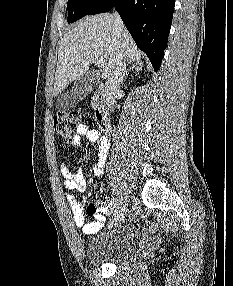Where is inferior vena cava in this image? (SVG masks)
<instances>
[{
    "instance_id": "1",
    "label": "inferior vena cava",
    "mask_w": 233,
    "mask_h": 286,
    "mask_svg": "<svg viewBox=\"0 0 233 286\" xmlns=\"http://www.w3.org/2000/svg\"><path fill=\"white\" fill-rule=\"evenodd\" d=\"M115 17V28L121 29L124 25L118 13H114ZM126 58L123 54H118L115 61V69L113 72V77L108 79L106 93L109 99L111 106L115 104V97L119 92L120 85L123 82L125 73H126Z\"/></svg>"
}]
</instances>
